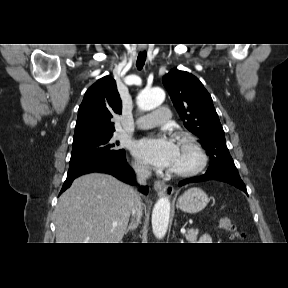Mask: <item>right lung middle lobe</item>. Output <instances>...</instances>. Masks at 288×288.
Returning a JSON list of instances; mask_svg holds the SVG:
<instances>
[{
	"instance_id": "1",
	"label": "right lung middle lobe",
	"mask_w": 288,
	"mask_h": 288,
	"mask_svg": "<svg viewBox=\"0 0 288 288\" xmlns=\"http://www.w3.org/2000/svg\"><path fill=\"white\" fill-rule=\"evenodd\" d=\"M112 136L108 135L73 144L70 163L94 156H108L112 158L125 156V151L118 148L119 144L111 142Z\"/></svg>"
}]
</instances>
